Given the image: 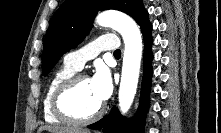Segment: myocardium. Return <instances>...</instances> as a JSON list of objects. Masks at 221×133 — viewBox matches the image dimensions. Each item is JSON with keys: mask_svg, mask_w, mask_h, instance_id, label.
<instances>
[{"mask_svg": "<svg viewBox=\"0 0 221 133\" xmlns=\"http://www.w3.org/2000/svg\"><path fill=\"white\" fill-rule=\"evenodd\" d=\"M85 79H89L85 74H74L61 82L52 95L51 106L53 113L64 122L74 125L89 124L99 119L105 111V105L103 103L95 113L87 117H77L67 109L65 104L67 97L74 88Z\"/></svg>", "mask_w": 221, "mask_h": 133, "instance_id": "myocardium-1", "label": "myocardium"}]
</instances>
